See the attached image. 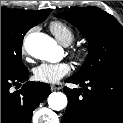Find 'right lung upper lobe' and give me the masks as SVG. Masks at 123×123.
Here are the masks:
<instances>
[{
  "label": "right lung upper lobe",
  "instance_id": "1",
  "mask_svg": "<svg viewBox=\"0 0 123 123\" xmlns=\"http://www.w3.org/2000/svg\"><path fill=\"white\" fill-rule=\"evenodd\" d=\"M22 15H26V14H35L38 16H45L47 17L48 14L51 12V9H43V10H39V11H33V12H29V11H25V10H20L17 9Z\"/></svg>",
  "mask_w": 123,
  "mask_h": 123
}]
</instances>
